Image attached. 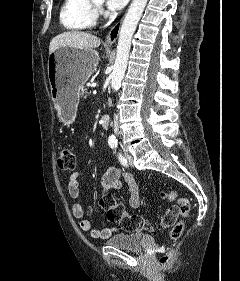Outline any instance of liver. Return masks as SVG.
I'll return each instance as SVG.
<instances>
[{
    "label": "liver",
    "instance_id": "obj_1",
    "mask_svg": "<svg viewBox=\"0 0 240 281\" xmlns=\"http://www.w3.org/2000/svg\"><path fill=\"white\" fill-rule=\"evenodd\" d=\"M101 44L100 38L84 31H67L55 36L49 45V54L61 46L93 49Z\"/></svg>",
    "mask_w": 240,
    "mask_h": 281
}]
</instances>
